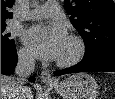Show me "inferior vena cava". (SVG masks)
I'll return each instance as SVG.
<instances>
[{
    "label": "inferior vena cava",
    "instance_id": "inferior-vena-cava-1",
    "mask_svg": "<svg viewBox=\"0 0 115 99\" xmlns=\"http://www.w3.org/2000/svg\"><path fill=\"white\" fill-rule=\"evenodd\" d=\"M35 68L34 58L26 53L18 54V62L15 68V73L18 78L16 79V86L14 89L15 99H24L25 95L28 93L29 88L24 86V81L27 76H29Z\"/></svg>",
    "mask_w": 115,
    "mask_h": 99
}]
</instances>
